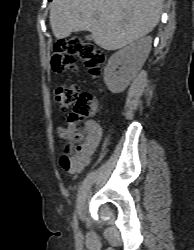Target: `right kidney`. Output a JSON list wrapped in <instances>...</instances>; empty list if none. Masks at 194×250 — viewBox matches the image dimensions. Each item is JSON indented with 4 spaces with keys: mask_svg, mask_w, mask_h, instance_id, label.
I'll list each match as a JSON object with an SVG mask.
<instances>
[{
    "mask_svg": "<svg viewBox=\"0 0 194 250\" xmlns=\"http://www.w3.org/2000/svg\"><path fill=\"white\" fill-rule=\"evenodd\" d=\"M151 43L150 36L139 38L110 57L104 69V82L112 93H121L127 88L146 61Z\"/></svg>",
    "mask_w": 194,
    "mask_h": 250,
    "instance_id": "right-kidney-1",
    "label": "right kidney"
}]
</instances>
